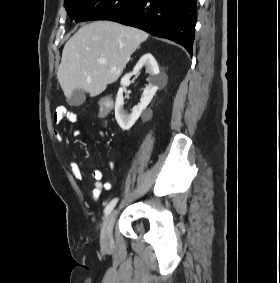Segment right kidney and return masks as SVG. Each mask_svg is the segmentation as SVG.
<instances>
[{"label":"right kidney","mask_w":280,"mask_h":283,"mask_svg":"<svg viewBox=\"0 0 280 283\" xmlns=\"http://www.w3.org/2000/svg\"><path fill=\"white\" fill-rule=\"evenodd\" d=\"M142 67H145L146 72L149 73L150 82L144 89L140 103L138 104V106H135L132 110V113L128 115L123 109V90L124 87L130 85L131 76L139 73ZM164 82H166V77L164 75H160L158 64L150 53L144 54L134 67L133 71L124 75V77L121 79L122 87H120V89L118 90L115 103V118L122 130H129L135 124L142 111L151 102L153 96L158 90V86Z\"/></svg>","instance_id":"right-kidney-1"}]
</instances>
